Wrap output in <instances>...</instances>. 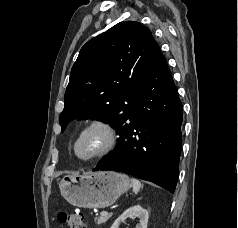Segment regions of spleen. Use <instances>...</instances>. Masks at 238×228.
Returning <instances> with one entry per match:
<instances>
[{
    "instance_id": "1",
    "label": "spleen",
    "mask_w": 238,
    "mask_h": 228,
    "mask_svg": "<svg viewBox=\"0 0 238 228\" xmlns=\"http://www.w3.org/2000/svg\"><path fill=\"white\" fill-rule=\"evenodd\" d=\"M131 183H132L133 192L137 194L139 190L142 188L141 182L137 179L132 178Z\"/></svg>"
}]
</instances>
